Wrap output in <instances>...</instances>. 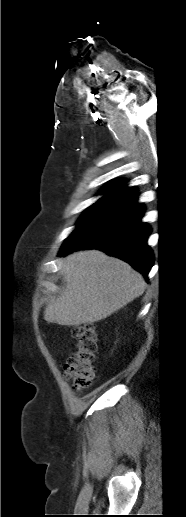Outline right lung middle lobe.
Wrapping results in <instances>:
<instances>
[{
    "label": "right lung middle lobe",
    "instance_id": "1",
    "mask_svg": "<svg viewBox=\"0 0 186 517\" xmlns=\"http://www.w3.org/2000/svg\"><path fill=\"white\" fill-rule=\"evenodd\" d=\"M113 205L115 204L109 201H97L91 205L80 218L77 229L69 237L104 214Z\"/></svg>",
    "mask_w": 186,
    "mask_h": 517
}]
</instances>
